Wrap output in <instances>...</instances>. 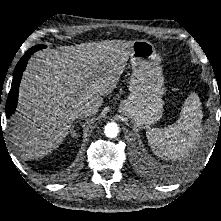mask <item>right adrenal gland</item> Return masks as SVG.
I'll list each match as a JSON object with an SVG mask.
<instances>
[{
	"label": "right adrenal gland",
	"instance_id": "obj_1",
	"mask_svg": "<svg viewBox=\"0 0 221 221\" xmlns=\"http://www.w3.org/2000/svg\"><path fill=\"white\" fill-rule=\"evenodd\" d=\"M71 134H72L73 137H77L78 136V134L76 133L75 130H73V128H72Z\"/></svg>",
	"mask_w": 221,
	"mask_h": 221
}]
</instances>
